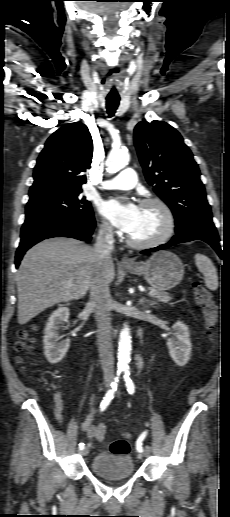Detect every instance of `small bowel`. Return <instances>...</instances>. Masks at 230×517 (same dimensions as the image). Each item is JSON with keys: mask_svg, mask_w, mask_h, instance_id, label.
I'll use <instances>...</instances> for the list:
<instances>
[{"mask_svg": "<svg viewBox=\"0 0 230 517\" xmlns=\"http://www.w3.org/2000/svg\"><path fill=\"white\" fill-rule=\"evenodd\" d=\"M63 403L60 400V395H57L56 407H55V416L59 422H63ZM93 414H90L87 419L81 424V430L86 433L88 439L97 438L102 440L105 436V426L103 424L93 425ZM126 437H129L128 433L123 434Z\"/></svg>", "mask_w": 230, "mask_h": 517, "instance_id": "1", "label": "small bowel"}]
</instances>
